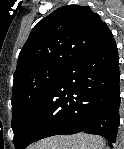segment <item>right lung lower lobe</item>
Segmentation results:
<instances>
[{
    "label": "right lung lower lobe",
    "mask_w": 124,
    "mask_h": 149,
    "mask_svg": "<svg viewBox=\"0 0 124 149\" xmlns=\"http://www.w3.org/2000/svg\"><path fill=\"white\" fill-rule=\"evenodd\" d=\"M119 58L112 39L65 66L29 121L17 149L54 135L88 133L115 143L119 126Z\"/></svg>",
    "instance_id": "obj_1"
}]
</instances>
